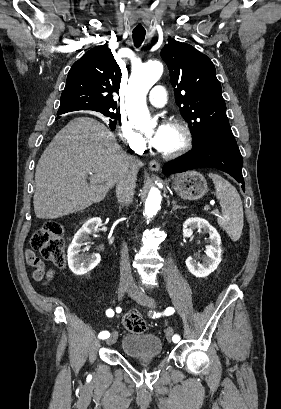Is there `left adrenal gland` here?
<instances>
[{
	"label": "left adrenal gland",
	"instance_id": "1",
	"mask_svg": "<svg viewBox=\"0 0 281 409\" xmlns=\"http://www.w3.org/2000/svg\"><path fill=\"white\" fill-rule=\"evenodd\" d=\"M172 211H177V209H186V207H179V205H177L176 200H172Z\"/></svg>",
	"mask_w": 281,
	"mask_h": 409
}]
</instances>
